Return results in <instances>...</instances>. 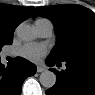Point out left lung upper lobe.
Returning <instances> with one entry per match:
<instances>
[{"mask_svg":"<svg viewBox=\"0 0 95 95\" xmlns=\"http://www.w3.org/2000/svg\"><path fill=\"white\" fill-rule=\"evenodd\" d=\"M50 19L57 33V44L50 54L56 61L95 62V13L81 5L43 6L33 17Z\"/></svg>","mask_w":95,"mask_h":95,"instance_id":"1","label":"left lung upper lobe"}]
</instances>
